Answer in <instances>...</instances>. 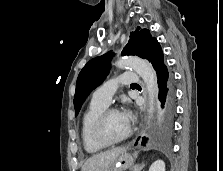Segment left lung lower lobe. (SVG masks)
<instances>
[{"instance_id":"obj_1","label":"left lung lower lobe","mask_w":223,"mask_h":171,"mask_svg":"<svg viewBox=\"0 0 223 171\" xmlns=\"http://www.w3.org/2000/svg\"><path fill=\"white\" fill-rule=\"evenodd\" d=\"M146 59L152 64L157 74L160 102L157 128L152 141L159 146L165 147L169 144L173 135L176 114L174 78L164 63L163 52L158 41L152 45ZM146 140V138H143L141 144L145 145Z\"/></svg>"}]
</instances>
